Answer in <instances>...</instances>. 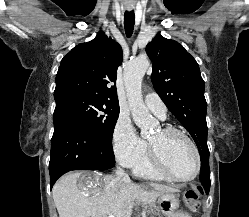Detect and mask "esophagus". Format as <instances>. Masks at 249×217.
I'll return each instance as SVG.
<instances>
[{"label":"esophagus","instance_id":"1","mask_svg":"<svg viewBox=\"0 0 249 217\" xmlns=\"http://www.w3.org/2000/svg\"><path fill=\"white\" fill-rule=\"evenodd\" d=\"M127 10H128V11L132 10V7H127Z\"/></svg>","mask_w":249,"mask_h":217}]
</instances>
